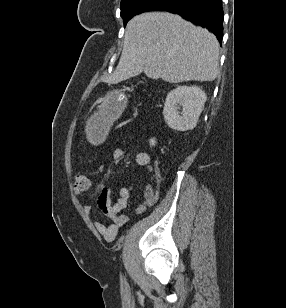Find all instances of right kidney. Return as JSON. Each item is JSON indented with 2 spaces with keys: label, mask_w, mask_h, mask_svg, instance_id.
<instances>
[{
  "label": "right kidney",
  "mask_w": 286,
  "mask_h": 308,
  "mask_svg": "<svg viewBox=\"0 0 286 308\" xmlns=\"http://www.w3.org/2000/svg\"><path fill=\"white\" fill-rule=\"evenodd\" d=\"M207 96L197 86H178L166 97L163 116L167 125L177 131L193 129L204 108ZM181 109V112L179 110Z\"/></svg>",
  "instance_id": "obj_1"
}]
</instances>
